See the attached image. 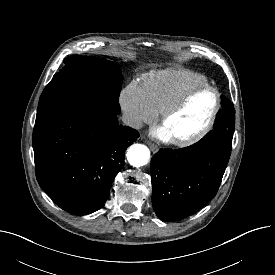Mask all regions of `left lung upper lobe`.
Instances as JSON below:
<instances>
[{
    "label": "left lung upper lobe",
    "mask_w": 275,
    "mask_h": 275,
    "mask_svg": "<svg viewBox=\"0 0 275 275\" xmlns=\"http://www.w3.org/2000/svg\"><path fill=\"white\" fill-rule=\"evenodd\" d=\"M222 109L226 110V115L222 120H216L214 129H229L234 131V123H235V109L231 101L222 96Z\"/></svg>",
    "instance_id": "obj_1"
}]
</instances>
